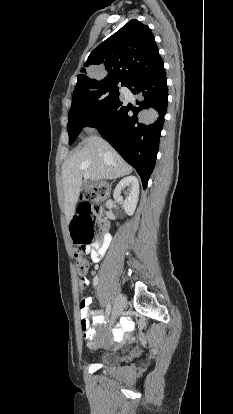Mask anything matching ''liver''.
<instances>
[{
	"instance_id": "1",
	"label": "liver",
	"mask_w": 233,
	"mask_h": 414,
	"mask_svg": "<svg viewBox=\"0 0 233 414\" xmlns=\"http://www.w3.org/2000/svg\"><path fill=\"white\" fill-rule=\"evenodd\" d=\"M62 166L64 211L69 222L75 213L82 178L98 181L129 175L132 167L103 138L92 135Z\"/></svg>"
}]
</instances>
